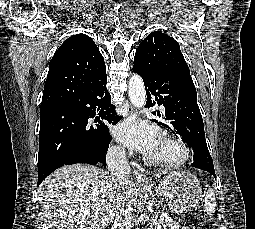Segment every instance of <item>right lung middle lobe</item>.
I'll return each instance as SVG.
<instances>
[{"instance_id": "right-lung-middle-lobe-1", "label": "right lung middle lobe", "mask_w": 255, "mask_h": 229, "mask_svg": "<svg viewBox=\"0 0 255 229\" xmlns=\"http://www.w3.org/2000/svg\"><path fill=\"white\" fill-rule=\"evenodd\" d=\"M87 127L75 114H66L40 123L38 164L55 167L69 155Z\"/></svg>"}]
</instances>
